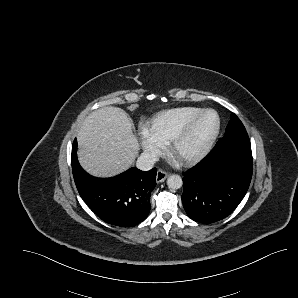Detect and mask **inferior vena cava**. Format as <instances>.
I'll list each match as a JSON object with an SVG mask.
<instances>
[{
    "mask_svg": "<svg viewBox=\"0 0 298 298\" xmlns=\"http://www.w3.org/2000/svg\"><path fill=\"white\" fill-rule=\"evenodd\" d=\"M158 160L159 157L154 152H143L137 160L136 167L141 171H150Z\"/></svg>",
    "mask_w": 298,
    "mask_h": 298,
    "instance_id": "1",
    "label": "inferior vena cava"
}]
</instances>
